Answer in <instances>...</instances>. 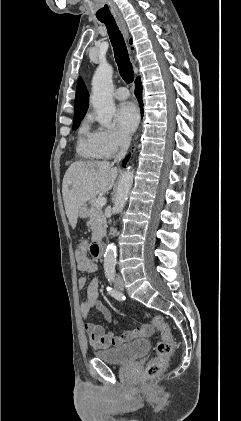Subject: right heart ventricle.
Wrapping results in <instances>:
<instances>
[{"mask_svg":"<svg viewBox=\"0 0 241 421\" xmlns=\"http://www.w3.org/2000/svg\"><path fill=\"white\" fill-rule=\"evenodd\" d=\"M77 152L81 157L86 159L103 158L96 144L94 131L90 130L86 122H84L79 129Z\"/></svg>","mask_w":241,"mask_h":421,"instance_id":"e07e8e85","label":"right heart ventricle"}]
</instances>
